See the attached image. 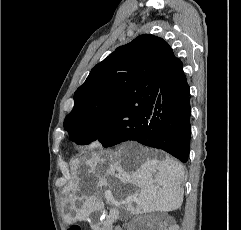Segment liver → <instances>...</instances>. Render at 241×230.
Segmentation results:
<instances>
[{"mask_svg":"<svg viewBox=\"0 0 241 230\" xmlns=\"http://www.w3.org/2000/svg\"><path fill=\"white\" fill-rule=\"evenodd\" d=\"M150 150L128 142L117 150L101 153L93 152L91 158L85 160L86 168L78 171V177L65 187L64 192L69 195L64 200V204L70 203V210L75 212L63 213L66 223L71 224L77 220L82 221L94 211L102 207L98 193L103 187H109L110 191H115L108 183V177L119 179L124 184H133L140 188L136 207L131 204V199L123 201L124 198L119 194H114L120 204L125 205L124 209L131 214L148 213L153 211H174L181 207L183 202L184 181L183 166L167 154H163L159 159L157 156L149 157ZM104 173V175H102ZM156 173V175H154ZM88 177L96 178L95 192L87 193L81 207L75 205L76 192L83 190L85 180ZM110 224L92 225L93 230H105Z\"/></svg>","mask_w":241,"mask_h":230,"instance_id":"6515ba94","label":"liver"}]
</instances>
